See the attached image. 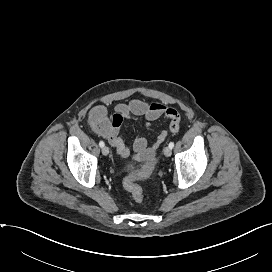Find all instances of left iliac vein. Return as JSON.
Listing matches in <instances>:
<instances>
[{"instance_id":"4c4485c4","label":"left iliac vein","mask_w":272,"mask_h":272,"mask_svg":"<svg viewBox=\"0 0 272 272\" xmlns=\"http://www.w3.org/2000/svg\"><path fill=\"white\" fill-rule=\"evenodd\" d=\"M171 153H172V151H171V148L169 146L164 148V155L166 157L171 156Z\"/></svg>"}]
</instances>
